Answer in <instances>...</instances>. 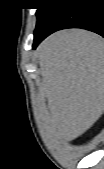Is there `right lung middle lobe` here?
<instances>
[{"label":"right lung middle lobe","mask_w":104,"mask_h":169,"mask_svg":"<svg viewBox=\"0 0 104 169\" xmlns=\"http://www.w3.org/2000/svg\"><path fill=\"white\" fill-rule=\"evenodd\" d=\"M37 25L35 31L40 30L53 13L59 8L62 0H38L37 1Z\"/></svg>","instance_id":"obj_1"}]
</instances>
